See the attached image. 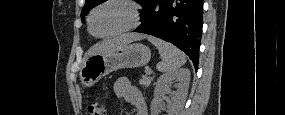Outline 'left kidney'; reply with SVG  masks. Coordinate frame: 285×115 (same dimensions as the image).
<instances>
[{
	"mask_svg": "<svg viewBox=\"0 0 285 115\" xmlns=\"http://www.w3.org/2000/svg\"><path fill=\"white\" fill-rule=\"evenodd\" d=\"M176 80V91H171V84ZM190 82V71L187 68L177 69L161 75L154 90V99L151 102V115L159 114L161 104L160 97L164 94H172V102L167 105L168 115H179L185 103Z\"/></svg>",
	"mask_w": 285,
	"mask_h": 115,
	"instance_id": "obj_1",
	"label": "left kidney"
}]
</instances>
